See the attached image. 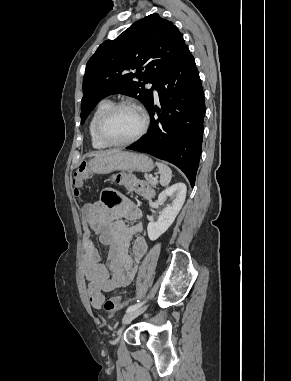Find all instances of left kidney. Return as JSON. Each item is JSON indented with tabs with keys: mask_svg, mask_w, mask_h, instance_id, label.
Returning a JSON list of instances; mask_svg holds the SVG:
<instances>
[{
	"mask_svg": "<svg viewBox=\"0 0 291 381\" xmlns=\"http://www.w3.org/2000/svg\"><path fill=\"white\" fill-rule=\"evenodd\" d=\"M186 191L187 187L184 183H176L159 194V203L165 202L168 197L170 198V203L162 210L157 221H153L152 218L149 219L147 232L150 240L154 241L158 239L174 222L184 204Z\"/></svg>",
	"mask_w": 291,
	"mask_h": 381,
	"instance_id": "obj_1",
	"label": "left kidney"
}]
</instances>
